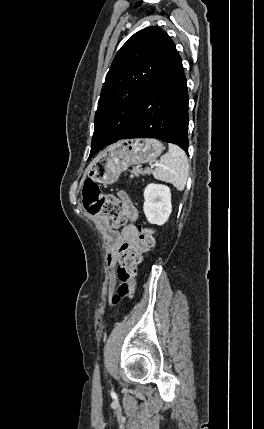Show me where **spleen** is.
<instances>
[{
  "label": "spleen",
  "instance_id": "1",
  "mask_svg": "<svg viewBox=\"0 0 264 429\" xmlns=\"http://www.w3.org/2000/svg\"><path fill=\"white\" fill-rule=\"evenodd\" d=\"M168 148V152L160 158L159 166L153 170V175L182 191L188 178V159L179 146L169 143Z\"/></svg>",
  "mask_w": 264,
  "mask_h": 429
}]
</instances>
